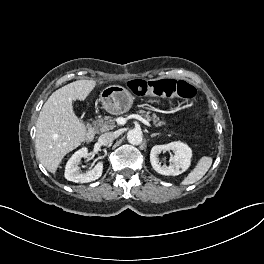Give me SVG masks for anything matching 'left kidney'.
<instances>
[{
	"instance_id": "5707ae66",
	"label": "left kidney",
	"mask_w": 264,
	"mask_h": 264,
	"mask_svg": "<svg viewBox=\"0 0 264 264\" xmlns=\"http://www.w3.org/2000/svg\"><path fill=\"white\" fill-rule=\"evenodd\" d=\"M172 150L174 156L172 157L169 166L159 163V154L162 151ZM192 150L191 148L180 141H174L166 145H155L150 152V162L154 170L162 175H179L186 171L191 163Z\"/></svg>"
}]
</instances>
